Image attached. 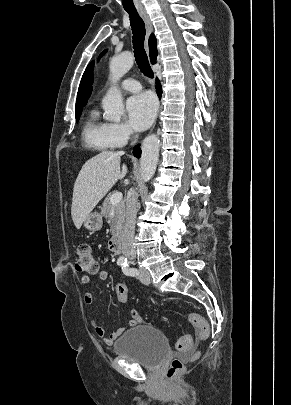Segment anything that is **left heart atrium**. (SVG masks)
<instances>
[{"mask_svg": "<svg viewBox=\"0 0 291 405\" xmlns=\"http://www.w3.org/2000/svg\"><path fill=\"white\" fill-rule=\"evenodd\" d=\"M126 109L131 126L136 130H144L152 123L157 105L150 93H141L129 98Z\"/></svg>", "mask_w": 291, "mask_h": 405, "instance_id": "obj_1", "label": "left heart atrium"}]
</instances>
